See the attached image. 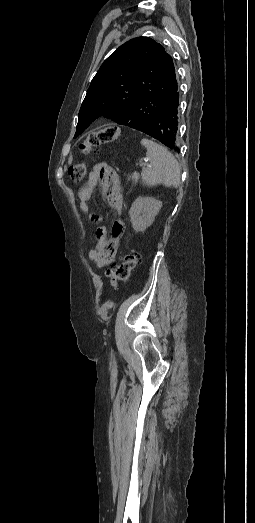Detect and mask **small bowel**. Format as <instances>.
<instances>
[{"label":"small bowel","instance_id":"1","mask_svg":"<svg viewBox=\"0 0 255 523\" xmlns=\"http://www.w3.org/2000/svg\"><path fill=\"white\" fill-rule=\"evenodd\" d=\"M99 182L103 196L118 215L123 212V198L118 175L106 163L97 164L89 173L87 183L79 190L80 210L88 214L91 223L97 225L95 228V245L89 251L88 258L98 268H103L116 260L121 238L125 232V223L121 218H117L112 225L110 238H108L106 227L98 225L102 221V217L90 212V204L93 190Z\"/></svg>","mask_w":255,"mask_h":523}]
</instances>
